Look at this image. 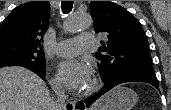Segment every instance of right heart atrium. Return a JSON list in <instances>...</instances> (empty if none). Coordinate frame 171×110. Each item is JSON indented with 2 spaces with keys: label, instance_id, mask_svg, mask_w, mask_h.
<instances>
[{
  "label": "right heart atrium",
  "instance_id": "d8ad5b80",
  "mask_svg": "<svg viewBox=\"0 0 171 110\" xmlns=\"http://www.w3.org/2000/svg\"><path fill=\"white\" fill-rule=\"evenodd\" d=\"M51 84L56 90H60L61 85H60V82L56 78H53L51 80Z\"/></svg>",
  "mask_w": 171,
  "mask_h": 110
}]
</instances>
